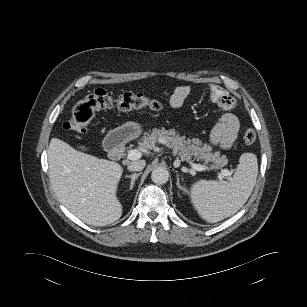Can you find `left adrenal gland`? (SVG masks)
Wrapping results in <instances>:
<instances>
[{
    "instance_id": "left-adrenal-gland-1",
    "label": "left adrenal gland",
    "mask_w": 307,
    "mask_h": 307,
    "mask_svg": "<svg viewBox=\"0 0 307 307\" xmlns=\"http://www.w3.org/2000/svg\"><path fill=\"white\" fill-rule=\"evenodd\" d=\"M176 185L179 188V190L186 191V189L180 185V181H179V176L178 175H177V183H176Z\"/></svg>"
}]
</instances>
